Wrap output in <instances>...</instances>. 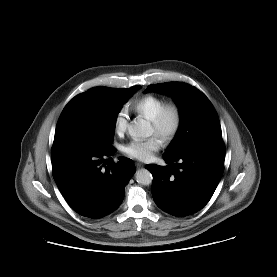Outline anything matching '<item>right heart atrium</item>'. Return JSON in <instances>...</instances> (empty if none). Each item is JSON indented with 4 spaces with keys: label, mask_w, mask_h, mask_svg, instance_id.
Segmentation results:
<instances>
[{
    "label": "right heart atrium",
    "mask_w": 277,
    "mask_h": 277,
    "mask_svg": "<svg viewBox=\"0 0 277 277\" xmlns=\"http://www.w3.org/2000/svg\"><path fill=\"white\" fill-rule=\"evenodd\" d=\"M128 126V115L124 109H121L117 112L114 117L113 127L117 135H123Z\"/></svg>",
    "instance_id": "right-heart-atrium-1"
}]
</instances>
